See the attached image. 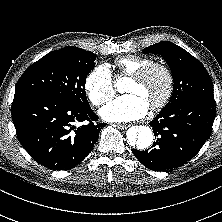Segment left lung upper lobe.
I'll return each mask as SVG.
<instances>
[{"label":"left lung upper lobe","mask_w":222,"mask_h":222,"mask_svg":"<svg viewBox=\"0 0 222 222\" xmlns=\"http://www.w3.org/2000/svg\"><path fill=\"white\" fill-rule=\"evenodd\" d=\"M143 52L162 55L172 71L173 93L162 110L191 99L214 101L213 84L207 70L186 50L172 42L161 41L143 49Z\"/></svg>","instance_id":"left-lung-upper-lobe-1"}]
</instances>
